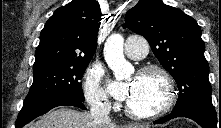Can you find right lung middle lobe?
Segmentation results:
<instances>
[{
  "label": "right lung middle lobe",
  "mask_w": 221,
  "mask_h": 128,
  "mask_svg": "<svg viewBox=\"0 0 221 128\" xmlns=\"http://www.w3.org/2000/svg\"><path fill=\"white\" fill-rule=\"evenodd\" d=\"M89 62V59H83L33 71V83L24 104L58 95L84 101L80 79Z\"/></svg>",
  "instance_id": "dd1d6c3e"
}]
</instances>
